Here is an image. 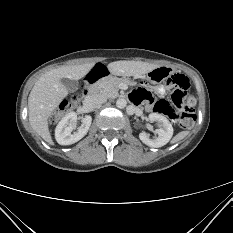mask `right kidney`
Listing matches in <instances>:
<instances>
[{
  "mask_svg": "<svg viewBox=\"0 0 233 233\" xmlns=\"http://www.w3.org/2000/svg\"><path fill=\"white\" fill-rule=\"evenodd\" d=\"M76 122L77 114L75 112H70L58 123L55 129V138L60 145H71L82 139L90 128L92 117L90 115L81 117V126L78 128L77 132L72 133Z\"/></svg>",
  "mask_w": 233,
  "mask_h": 233,
  "instance_id": "right-kidney-1",
  "label": "right kidney"
}]
</instances>
